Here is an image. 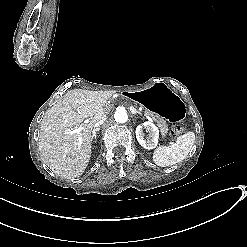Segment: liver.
Listing matches in <instances>:
<instances>
[{"mask_svg":"<svg viewBox=\"0 0 247 247\" xmlns=\"http://www.w3.org/2000/svg\"><path fill=\"white\" fill-rule=\"evenodd\" d=\"M108 99L102 91L73 89L44 113L40 157L56 176L74 179L85 172L92 156L91 131L107 117Z\"/></svg>","mask_w":247,"mask_h":247,"instance_id":"liver-1","label":"liver"}]
</instances>
